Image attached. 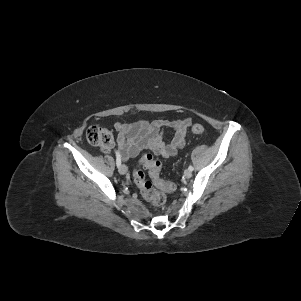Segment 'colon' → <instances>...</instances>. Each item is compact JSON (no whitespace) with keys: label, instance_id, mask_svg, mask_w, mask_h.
I'll list each match as a JSON object with an SVG mask.
<instances>
[{"label":"colon","instance_id":"obj_1","mask_svg":"<svg viewBox=\"0 0 301 301\" xmlns=\"http://www.w3.org/2000/svg\"><path fill=\"white\" fill-rule=\"evenodd\" d=\"M191 131L194 134H202L205 128L201 124H194L191 127ZM86 138L90 144L103 149L108 148L113 142L111 131L98 125L90 126L87 129ZM140 166L147 169L150 178V180H146L145 174L140 168L136 169L133 173V180L140 189L143 197L155 206L164 204L165 195L161 191L171 192L176 189V186L162 179L160 175L161 163L151 154L143 156L140 160Z\"/></svg>","mask_w":301,"mask_h":301}]
</instances>
